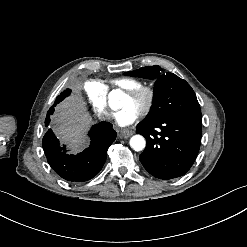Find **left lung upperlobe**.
Masks as SVG:
<instances>
[{
  "label": "left lung upper lobe",
  "mask_w": 247,
  "mask_h": 247,
  "mask_svg": "<svg viewBox=\"0 0 247 247\" xmlns=\"http://www.w3.org/2000/svg\"><path fill=\"white\" fill-rule=\"evenodd\" d=\"M159 66L126 72V75L156 79L153 105L141 124H153L172 116L202 120L200 105L191 86L173 73L160 74Z\"/></svg>",
  "instance_id": "obj_1"
}]
</instances>
